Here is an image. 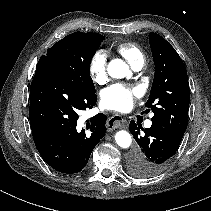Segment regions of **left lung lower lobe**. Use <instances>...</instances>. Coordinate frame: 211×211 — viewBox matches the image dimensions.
I'll list each match as a JSON object with an SVG mask.
<instances>
[{"mask_svg": "<svg viewBox=\"0 0 211 211\" xmlns=\"http://www.w3.org/2000/svg\"><path fill=\"white\" fill-rule=\"evenodd\" d=\"M129 130L138 143L128 158L129 170L137 177H152L161 173L169 165L182 140L153 123L150 128L143 129L132 120Z\"/></svg>", "mask_w": 211, "mask_h": 211, "instance_id": "1", "label": "left lung lower lobe"}]
</instances>
